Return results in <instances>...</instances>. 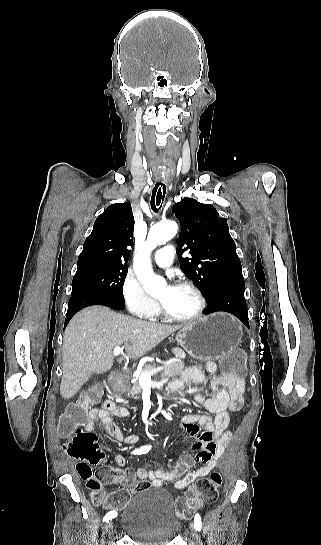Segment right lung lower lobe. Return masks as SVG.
<instances>
[{"label": "right lung lower lobe", "instance_id": "right-lung-lower-lobe-1", "mask_svg": "<svg viewBox=\"0 0 321 545\" xmlns=\"http://www.w3.org/2000/svg\"><path fill=\"white\" fill-rule=\"evenodd\" d=\"M124 301L95 294H80L70 298L65 319V327L70 319L81 309L91 305H104L116 310L124 309Z\"/></svg>", "mask_w": 321, "mask_h": 545}]
</instances>
